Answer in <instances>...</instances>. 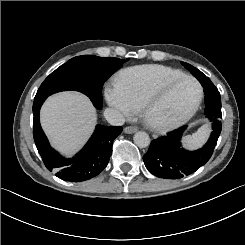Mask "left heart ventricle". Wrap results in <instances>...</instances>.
I'll list each match as a JSON object with an SVG mask.
<instances>
[{"instance_id":"1","label":"left heart ventricle","mask_w":245,"mask_h":245,"mask_svg":"<svg viewBox=\"0 0 245 245\" xmlns=\"http://www.w3.org/2000/svg\"><path fill=\"white\" fill-rule=\"evenodd\" d=\"M196 96L197 88L188 80L163 87L152 99L155 105V114L158 117H178L190 109Z\"/></svg>"}]
</instances>
